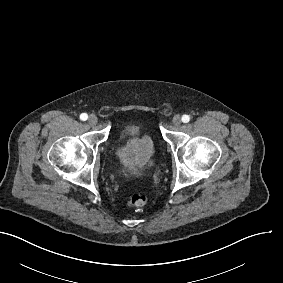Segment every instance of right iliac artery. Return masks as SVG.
Instances as JSON below:
<instances>
[{
  "label": "right iliac artery",
  "mask_w": 283,
  "mask_h": 283,
  "mask_svg": "<svg viewBox=\"0 0 283 283\" xmlns=\"http://www.w3.org/2000/svg\"><path fill=\"white\" fill-rule=\"evenodd\" d=\"M87 118H88V115L86 113H82L80 115V119L83 120V121L87 120Z\"/></svg>",
  "instance_id": "right-iliac-artery-1"
}]
</instances>
